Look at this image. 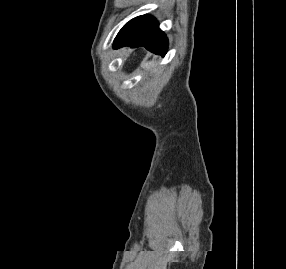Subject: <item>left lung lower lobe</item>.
Wrapping results in <instances>:
<instances>
[{"label": "left lung lower lobe", "mask_w": 286, "mask_h": 269, "mask_svg": "<svg viewBox=\"0 0 286 269\" xmlns=\"http://www.w3.org/2000/svg\"><path fill=\"white\" fill-rule=\"evenodd\" d=\"M113 46L114 48L144 46L149 51L164 56L167 52L168 40L159 29L155 18L142 15L124 25L117 34Z\"/></svg>", "instance_id": "left-lung-lower-lobe-1"}]
</instances>
